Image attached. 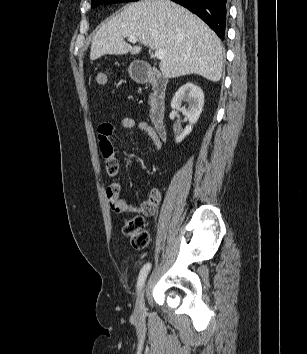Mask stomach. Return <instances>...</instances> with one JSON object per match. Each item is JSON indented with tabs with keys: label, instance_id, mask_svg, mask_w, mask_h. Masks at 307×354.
I'll return each mask as SVG.
<instances>
[{
	"label": "stomach",
	"instance_id": "1",
	"mask_svg": "<svg viewBox=\"0 0 307 354\" xmlns=\"http://www.w3.org/2000/svg\"><path fill=\"white\" fill-rule=\"evenodd\" d=\"M129 73L132 77H135L136 76V70L134 68V64L132 63L129 67Z\"/></svg>",
	"mask_w": 307,
	"mask_h": 354
}]
</instances>
